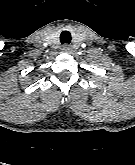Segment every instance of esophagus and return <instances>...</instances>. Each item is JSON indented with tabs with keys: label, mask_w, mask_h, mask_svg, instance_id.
Masks as SVG:
<instances>
[{
	"label": "esophagus",
	"mask_w": 135,
	"mask_h": 165,
	"mask_svg": "<svg viewBox=\"0 0 135 165\" xmlns=\"http://www.w3.org/2000/svg\"><path fill=\"white\" fill-rule=\"evenodd\" d=\"M62 51H63L64 53H69V52L71 51L70 45L64 44V45L62 46Z\"/></svg>",
	"instance_id": "esophagus-1"
}]
</instances>
